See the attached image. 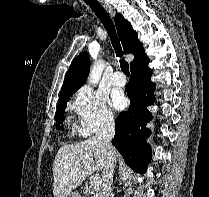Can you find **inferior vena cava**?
<instances>
[{
	"mask_svg": "<svg viewBox=\"0 0 209 197\" xmlns=\"http://www.w3.org/2000/svg\"><path fill=\"white\" fill-rule=\"evenodd\" d=\"M115 134V120L114 117L106 116L98 129L96 136L103 142L106 148V164L102 172V189L100 197H110L113 171L116 165V151L112 146V139Z\"/></svg>",
	"mask_w": 209,
	"mask_h": 197,
	"instance_id": "obj_1",
	"label": "inferior vena cava"
}]
</instances>
